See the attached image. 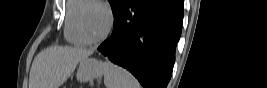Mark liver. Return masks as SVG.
Masks as SVG:
<instances>
[{"instance_id": "obj_1", "label": "liver", "mask_w": 267, "mask_h": 88, "mask_svg": "<svg viewBox=\"0 0 267 88\" xmlns=\"http://www.w3.org/2000/svg\"><path fill=\"white\" fill-rule=\"evenodd\" d=\"M92 53L93 50L60 46L41 51L32 63L29 88H59L77 64Z\"/></svg>"}]
</instances>
